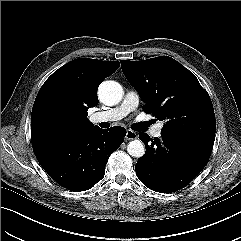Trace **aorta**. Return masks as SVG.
Wrapping results in <instances>:
<instances>
[{
    "mask_svg": "<svg viewBox=\"0 0 241 241\" xmlns=\"http://www.w3.org/2000/svg\"><path fill=\"white\" fill-rule=\"evenodd\" d=\"M100 100L106 105L118 104L123 96L122 86L115 81H104L98 88ZM129 155L135 158H140L145 154V147L140 140H133L127 146Z\"/></svg>",
    "mask_w": 241,
    "mask_h": 241,
    "instance_id": "1",
    "label": "aorta"
}]
</instances>
